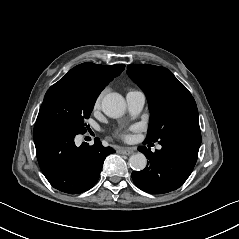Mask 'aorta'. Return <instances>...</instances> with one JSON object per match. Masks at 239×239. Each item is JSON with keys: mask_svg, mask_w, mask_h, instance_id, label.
I'll use <instances>...</instances> for the list:
<instances>
[{"mask_svg": "<svg viewBox=\"0 0 239 239\" xmlns=\"http://www.w3.org/2000/svg\"><path fill=\"white\" fill-rule=\"evenodd\" d=\"M102 111L110 118H120L126 112V102L119 93H109L102 100ZM130 166L134 170H143L147 159L144 154L138 152L129 158Z\"/></svg>", "mask_w": 239, "mask_h": 239, "instance_id": "aorta-1", "label": "aorta"}]
</instances>
